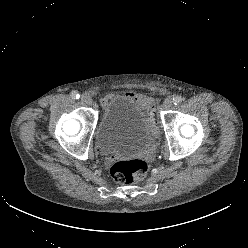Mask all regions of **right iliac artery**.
Returning <instances> with one entry per match:
<instances>
[{"instance_id": "1", "label": "right iliac artery", "mask_w": 248, "mask_h": 248, "mask_svg": "<svg viewBox=\"0 0 248 248\" xmlns=\"http://www.w3.org/2000/svg\"><path fill=\"white\" fill-rule=\"evenodd\" d=\"M80 97V95L78 94L77 91H72L71 92V98L72 99H78Z\"/></svg>"}]
</instances>
